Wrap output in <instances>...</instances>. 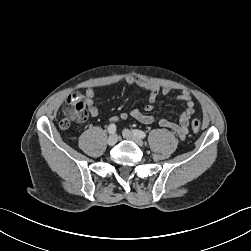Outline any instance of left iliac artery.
<instances>
[{
	"mask_svg": "<svg viewBox=\"0 0 251 251\" xmlns=\"http://www.w3.org/2000/svg\"><path fill=\"white\" fill-rule=\"evenodd\" d=\"M134 134L140 138H145L146 137V133L142 130H138V129H135L133 130Z\"/></svg>",
	"mask_w": 251,
	"mask_h": 251,
	"instance_id": "44dca946",
	"label": "left iliac artery"
}]
</instances>
